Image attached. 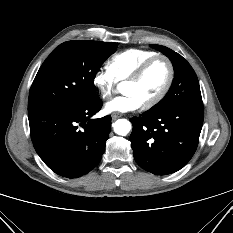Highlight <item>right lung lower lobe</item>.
<instances>
[{
	"label": "right lung lower lobe",
	"mask_w": 233,
	"mask_h": 233,
	"mask_svg": "<svg viewBox=\"0 0 233 233\" xmlns=\"http://www.w3.org/2000/svg\"><path fill=\"white\" fill-rule=\"evenodd\" d=\"M102 108L97 95L75 106L28 111L34 148L43 162L63 177L76 178L101 160L111 117L91 119Z\"/></svg>",
	"instance_id": "98d812e1"
}]
</instances>
